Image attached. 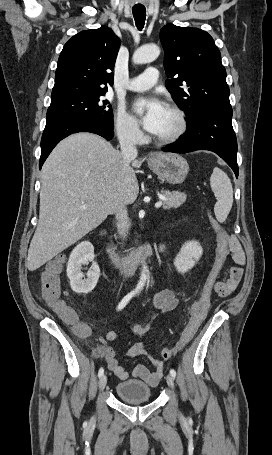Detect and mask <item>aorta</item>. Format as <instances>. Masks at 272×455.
<instances>
[{
  "mask_svg": "<svg viewBox=\"0 0 272 455\" xmlns=\"http://www.w3.org/2000/svg\"><path fill=\"white\" fill-rule=\"evenodd\" d=\"M160 54V48L155 44L145 45L138 48L133 54L135 64H144L154 61ZM147 280V266L143 265L140 280L136 286V292H140Z\"/></svg>",
  "mask_w": 272,
  "mask_h": 455,
  "instance_id": "762f6f07",
  "label": "aorta"
}]
</instances>
